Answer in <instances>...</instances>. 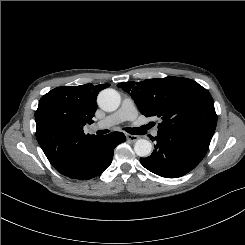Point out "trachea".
Here are the masks:
<instances>
[{
	"label": "trachea",
	"mask_w": 245,
	"mask_h": 245,
	"mask_svg": "<svg viewBox=\"0 0 245 245\" xmlns=\"http://www.w3.org/2000/svg\"><path fill=\"white\" fill-rule=\"evenodd\" d=\"M128 133H130V134H139L140 133V131H141V128H126L125 129ZM108 132H110L109 130H98L97 132H96V134H98V135H103V134H106V133H108Z\"/></svg>",
	"instance_id": "trachea-1"
}]
</instances>
